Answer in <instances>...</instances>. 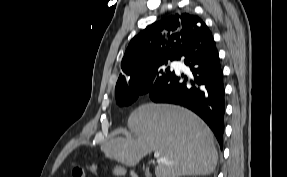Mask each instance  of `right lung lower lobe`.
<instances>
[{
	"label": "right lung lower lobe",
	"mask_w": 287,
	"mask_h": 177,
	"mask_svg": "<svg viewBox=\"0 0 287 177\" xmlns=\"http://www.w3.org/2000/svg\"><path fill=\"white\" fill-rule=\"evenodd\" d=\"M178 60L190 67L192 76L188 79L172 72L147 95L156 103L177 104L195 112L208 124L222 148L225 91L219 55L210 30H204L189 42Z\"/></svg>",
	"instance_id": "1"
}]
</instances>
